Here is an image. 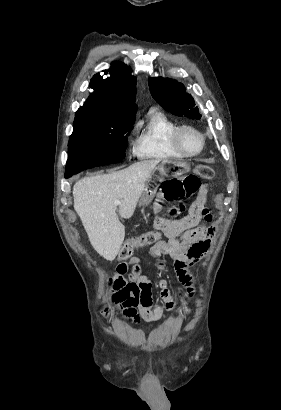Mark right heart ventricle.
<instances>
[{
    "mask_svg": "<svg viewBox=\"0 0 281 410\" xmlns=\"http://www.w3.org/2000/svg\"><path fill=\"white\" fill-rule=\"evenodd\" d=\"M179 125L165 113L151 109L140 123L135 153L140 159H176L185 157L173 145L172 136Z\"/></svg>",
    "mask_w": 281,
    "mask_h": 410,
    "instance_id": "e07e8e85",
    "label": "right heart ventricle"
}]
</instances>
